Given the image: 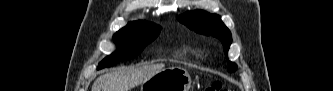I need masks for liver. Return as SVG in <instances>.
Here are the masks:
<instances>
[{"label": "liver", "instance_id": "obj_1", "mask_svg": "<svg viewBox=\"0 0 333 91\" xmlns=\"http://www.w3.org/2000/svg\"><path fill=\"white\" fill-rule=\"evenodd\" d=\"M164 67V64H145L138 67L121 68L98 77L92 86V91H130Z\"/></svg>", "mask_w": 333, "mask_h": 91}]
</instances>
